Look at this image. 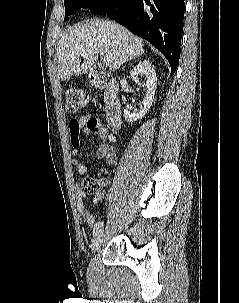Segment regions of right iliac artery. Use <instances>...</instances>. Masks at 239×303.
Returning a JSON list of instances; mask_svg holds the SVG:
<instances>
[{"mask_svg":"<svg viewBox=\"0 0 239 303\" xmlns=\"http://www.w3.org/2000/svg\"><path fill=\"white\" fill-rule=\"evenodd\" d=\"M103 226V222L99 221L95 224L93 228V234H95L97 231H99Z\"/></svg>","mask_w":239,"mask_h":303,"instance_id":"obj_1","label":"right iliac artery"}]
</instances>
